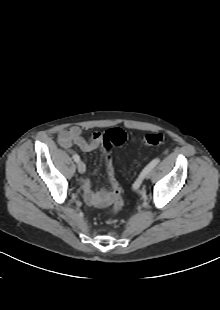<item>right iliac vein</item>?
Returning a JSON list of instances; mask_svg holds the SVG:
<instances>
[{"instance_id":"1","label":"right iliac vein","mask_w":220,"mask_h":310,"mask_svg":"<svg viewBox=\"0 0 220 310\" xmlns=\"http://www.w3.org/2000/svg\"><path fill=\"white\" fill-rule=\"evenodd\" d=\"M77 168H78L79 173L81 174L85 173L86 171V166L83 162H78Z\"/></svg>"}]
</instances>
